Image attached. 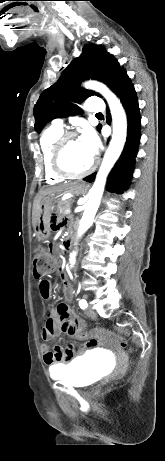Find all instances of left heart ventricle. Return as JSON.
Segmentation results:
<instances>
[{
    "mask_svg": "<svg viewBox=\"0 0 165 461\" xmlns=\"http://www.w3.org/2000/svg\"><path fill=\"white\" fill-rule=\"evenodd\" d=\"M93 158V155L87 151L79 137H75L67 142L63 160L70 170L79 172L86 169L91 164Z\"/></svg>",
    "mask_w": 165,
    "mask_h": 461,
    "instance_id": "b2bd125f",
    "label": "left heart ventricle"
}]
</instances>
